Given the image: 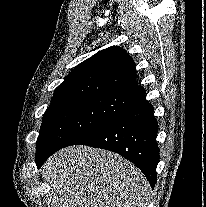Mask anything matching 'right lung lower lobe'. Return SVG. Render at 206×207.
Listing matches in <instances>:
<instances>
[{
  "label": "right lung lower lobe",
  "mask_w": 206,
  "mask_h": 207,
  "mask_svg": "<svg viewBox=\"0 0 206 207\" xmlns=\"http://www.w3.org/2000/svg\"><path fill=\"white\" fill-rule=\"evenodd\" d=\"M127 97L129 103L118 116L82 138L76 145H88L120 154L134 163L154 188L159 148L156 142L158 125L153 115V106L146 100L142 86L135 87ZM55 151L57 150L37 155V166L40 167Z\"/></svg>",
  "instance_id": "right-lung-lower-lobe-1"
}]
</instances>
